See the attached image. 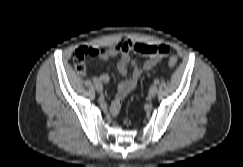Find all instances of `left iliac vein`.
Masks as SVG:
<instances>
[{
	"label": "left iliac vein",
	"mask_w": 243,
	"mask_h": 167,
	"mask_svg": "<svg viewBox=\"0 0 243 167\" xmlns=\"http://www.w3.org/2000/svg\"><path fill=\"white\" fill-rule=\"evenodd\" d=\"M157 91H158V88L156 85H152L150 88H149V95L151 97H154L156 94H157Z\"/></svg>",
	"instance_id": "obj_1"
}]
</instances>
